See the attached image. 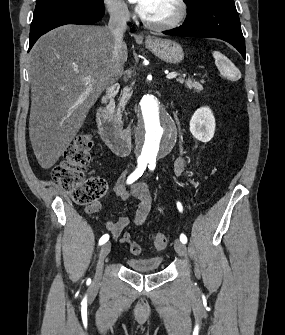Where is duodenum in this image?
I'll return each instance as SVG.
<instances>
[{
    "label": "duodenum",
    "instance_id": "duodenum-1",
    "mask_svg": "<svg viewBox=\"0 0 285 335\" xmlns=\"http://www.w3.org/2000/svg\"><path fill=\"white\" fill-rule=\"evenodd\" d=\"M118 84L111 85L102 97L97 110V127L109 148L117 155L126 156L132 150V132L117 120L113 112L114 98L119 92Z\"/></svg>",
    "mask_w": 285,
    "mask_h": 335
}]
</instances>
